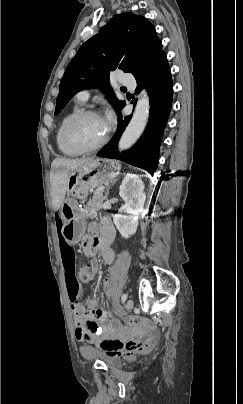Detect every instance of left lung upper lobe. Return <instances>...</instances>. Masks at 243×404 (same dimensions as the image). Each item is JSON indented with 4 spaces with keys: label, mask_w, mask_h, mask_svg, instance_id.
I'll return each mask as SVG.
<instances>
[{
    "label": "left lung upper lobe",
    "mask_w": 243,
    "mask_h": 404,
    "mask_svg": "<svg viewBox=\"0 0 243 404\" xmlns=\"http://www.w3.org/2000/svg\"><path fill=\"white\" fill-rule=\"evenodd\" d=\"M163 53L154 26L143 16L133 13L114 15L77 51L60 82L55 115L79 91L101 87L118 116L125 102H118L109 87L110 72L121 69L135 78L150 68Z\"/></svg>",
    "instance_id": "5c2ea615"
}]
</instances>
